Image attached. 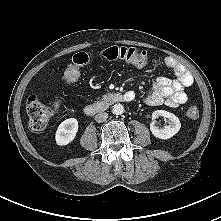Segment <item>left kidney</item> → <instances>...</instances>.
I'll use <instances>...</instances> for the list:
<instances>
[{"label":"left kidney","instance_id":"left-kidney-1","mask_svg":"<svg viewBox=\"0 0 221 221\" xmlns=\"http://www.w3.org/2000/svg\"><path fill=\"white\" fill-rule=\"evenodd\" d=\"M164 117L168 119V125L159 128L155 125V119L157 117ZM152 123L150 124V130L152 134L159 139H169L173 137L181 128V123L177 116L165 110H157L152 113Z\"/></svg>","mask_w":221,"mask_h":221}]
</instances>
